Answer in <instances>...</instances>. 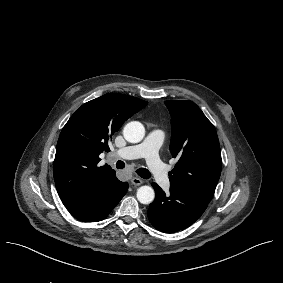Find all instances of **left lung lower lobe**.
Returning a JSON list of instances; mask_svg holds the SVG:
<instances>
[{
    "mask_svg": "<svg viewBox=\"0 0 283 283\" xmlns=\"http://www.w3.org/2000/svg\"><path fill=\"white\" fill-rule=\"evenodd\" d=\"M155 200L149 205L148 218L159 231L174 233L193 224L205 211L208 202L178 188L170 187V194L155 183Z\"/></svg>",
    "mask_w": 283,
    "mask_h": 283,
    "instance_id": "0a47b994",
    "label": "left lung lower lobe"
}]
</instances>
